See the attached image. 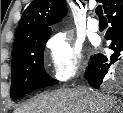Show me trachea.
I'll use <instances>...</instances> for the list:
<instances>
[{
	"label": "trachea",
	"mask_w": 123,
	"mask_h": 113,
	"mask_svg": "<svg viewBox=\"0 0 123 113\" xmlns=\"http://www.w3.org/2000/svg\"><path fill=\"white\" fill-rule=\"evenodd\" d=\"M96 14L100 17L103 18V10H102V6L98 5L97 8L95 9Z\"/></svg>",
	"instance_id": "trachea-1"
}]
</instances>
